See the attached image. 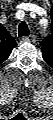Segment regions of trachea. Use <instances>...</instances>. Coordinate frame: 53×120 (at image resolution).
<instances>
[{
    "label": "trachea",
    "instance_id": "obj_1",
    "mask_svg": "<svg viewBox=\"0 0 53 120\" xmlns=\"http://www.w3.org/2000/svg\"><path fill=\"white\" fill-rule=\"evenodd\" d=\"M18 35L19 37L28 36L29 35V29L25 22H21L18 26Z\"/></svg>",
    "mask_w": 53,
    "mask_h": 120
}]
</instances>
